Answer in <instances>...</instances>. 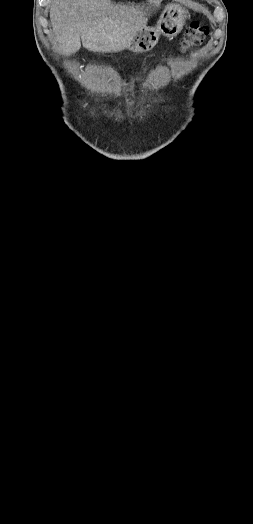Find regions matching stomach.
<instances>
[{
    "label": "stomach",
    "instance_id": "1",
    "mask_svg": "<svg viewBox=\"0 0 253 524\" xmlns=\"http://www.w3.org/2000/svg\"><path fill=\"white\" fill-rule=\"evenodd\" d=\"M187 11L178 4H171L164 8L155 27L144 26L137 31L128 49L136 52H146L152 49L162 34L168 38L177 36L186 22Z\"/></svg>",
    "mask_w": 253,
    "mask_h": 524
}]
</instances>
